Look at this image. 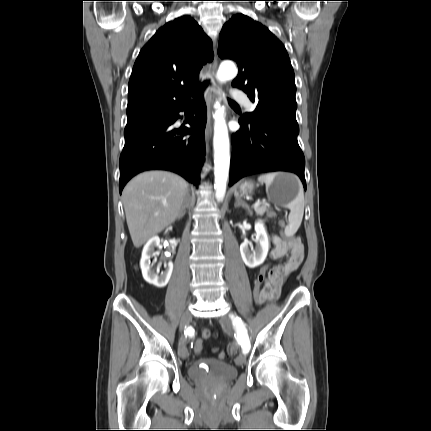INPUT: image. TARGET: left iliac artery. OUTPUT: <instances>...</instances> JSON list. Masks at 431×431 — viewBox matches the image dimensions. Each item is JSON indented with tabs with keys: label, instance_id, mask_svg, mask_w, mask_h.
I'll return each instance as SVG.
<instances>
[{
	"label": "left iliac artery",
	"instance_id": "1",
	"mask_svg": "<svg viewBox=\"0 0 431 431\" xmlns=\"http://www.w3.org/2000/svg\"><path fill=\"white\" fill-rule=\"evenodd\" d=\"M234 323H236L238 328H239L240 335H239L238 339H239V342L242 346L243 353L246 354L250 350V341H249L247 332L244 328V324H243L242 320L238 317L234 318Z\"/></svg>",
	"mask_w": 431,
	"mask_h": 431
}]
</instances>
